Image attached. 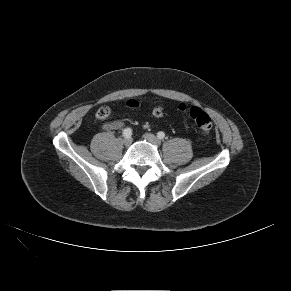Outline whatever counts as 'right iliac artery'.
<instances>
[{"label":"right iliac artery","instance_id":"1","mask_svg":"<svg viewBox=\"0 0 291 291\" xmlns=\"http://www.w3.org/2000/svg\"><path fill=\"white\" fill-rule=\"evenodd\" d=\"M132 135V130H131V128H125L124 130H123V136L125 137V138H128V137H130Z\"/></svg>","mask_w":291,"mask_h":291}]
</instances>
